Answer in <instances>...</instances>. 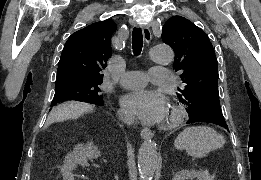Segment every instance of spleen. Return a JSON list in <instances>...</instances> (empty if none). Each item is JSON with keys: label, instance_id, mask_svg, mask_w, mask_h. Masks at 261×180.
Wrapping results in <instances>:
<instances>
[{"label": "spleen", "instance_id": "spleen-1", "mask_svg": "<svg viewBox=\"0 0 261 180\" xmlns=\"http://www.w3.org/2000/svg\"><path fill=\"white\" fill-rule=\"evenodd\" d=\"M176 142H179L180 148L186 150L192 158H205L209 152L220 150L226 144L224 136L208 126L186 128L179 134Z\"/></svg>", "mask_w": 261, "mask_h": 180}]
</instances>
